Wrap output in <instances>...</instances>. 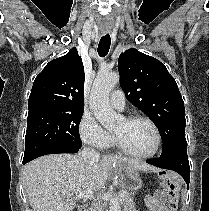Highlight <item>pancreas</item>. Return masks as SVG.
Wrapping results in <instances>:
<instances>
[{
    "label": "pancreas",
    "instance_id": "cf45deb5",
    "mask_svg": "<svg viewBox=\"0 0 209 211\" xmlns=\"http://www.w3.org/2000/svg\"><path fill=\"white\" fill-rule=\"evenodd\" d=\"M124 196L121 197V200L123 202L124 211H136V204L134 202V198L131 196V194L127 191H123ZM99 202V206H100Z\"/></svg>",
    "mask_w": 209,
    "mask_h": 211
}]
</instances>
